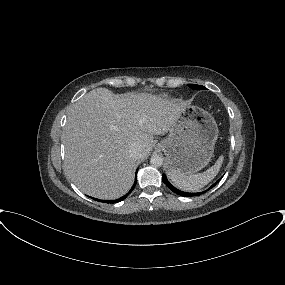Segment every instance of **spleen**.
Returning a JSON list of instances; mask_svg holds the SVG:
<instances>
[{
  "mask_svg": "<svg viewBox=\"0 0 285 285\" xmlns=\"http://www.w3.org/2000/svg\"><path fill=\"white\" fill-rule=\"evenodd\" d=\"M223 163V156H220L216 163L203 173L197 174H176L168 173L169 178L176 187L188 192H196L212 181L218 174Z\"/></svg>",
  "mask_w": 285,
  "mask_h": 285,
  "instance_id": "1",
  "label": "spleen"
}]
</instances>
